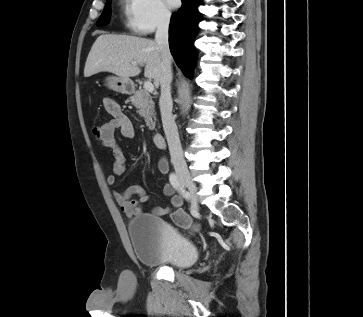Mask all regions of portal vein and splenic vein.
I'll return each mask as SVG.
<instances>
[{"mask_svg": "<svg viewBox=\"0 0 363 317\" xmlns=\"http://www.w3.org/2000/svg\"><path fill=\"white\" fill-rule=\"evenodd\" d=\"M132 65H136V63H132ZM144 89L148 92H153L154 91V85L150 82V81H146L144 83Z\"/></svg>", "mask_w": 363, "mask_h": 317, "instance_id": "portal-vein-and-splenic-vein-1", "label": "portal vein and splenic vein"}]
</instances>
